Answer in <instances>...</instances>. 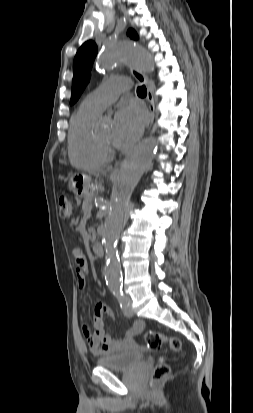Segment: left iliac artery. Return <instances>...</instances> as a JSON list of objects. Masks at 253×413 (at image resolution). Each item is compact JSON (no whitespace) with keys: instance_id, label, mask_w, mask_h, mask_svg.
<instances>
[{"instance_id":"left-iliac-artery-1","label":"left iliac artery","mask_w":253,"mask_h":413,"mask_svg":"<svg viewBox=\"0 0 253 413\" xmlns=\"http://www.w3.org/2000/svg\"><path fill=\"white\" fill-rule=\"evenodd\" d=\"M113 294H114V296L117 298V300H118V302H119V304H120V307H121L122 309H124L125 307L128 306V300H127L126 296L124 295V293H123V291H122V288H120V289H114V290H113Z\"/></svg>"}]
</instances>
